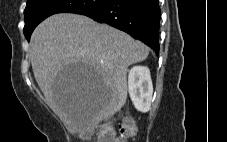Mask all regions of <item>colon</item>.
Here are the masks:
<instances>
[{
    "label": "colon",
    "instance_id": "obj_1",
    "mask_svg": "<svg viewBox=\"0 0 227 142\" xmlns=\"http://www.w3.org/2000/svg\"><path fill=\"white\" fill-rule=\"evenodd\" d=\"M136 132V125L133 119L124 118L117 126L114 128H106L100 134L97 142H126L131 138Z\"/></svg>",
    "mask_w": 227,
    "mask_h": 142
}]
</instances>
